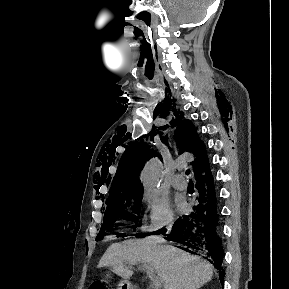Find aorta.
Wrapping results in <instances>:
<instances>
[{
  "mask_svg": "<svg viewBox=\"0 0 289 289\" xmlns=\"http://www.w3.org/2000/svg\"><path fill=\"white\" fill-rule=\"evenodd\" d=\"M162 179V164L155 158L146 163L142 173L141 182L144 189L152 191L160 186Z\"/></svg>",
  "mask_w": 289,
  "mask_h": 289,
  "instance_id": "762f6f07",
  "label": "aorta"
}]
</instances>
